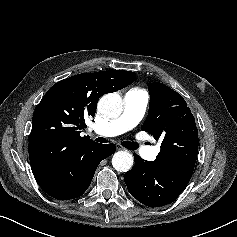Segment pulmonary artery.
Masks as SVG:
<instances>
[{"label": "pulmonary artery", "instance_id": "e3ab8cb5", "mask_svg": "<svg viewBox=\"0 0 237 237\" xmlns=\"http://www.w3.org/2000/svg\"><path fill=\"white\" fill-rule=\"evenodd\" d=\"M149 103L148 95L140 90L132 89L125 94L122 114L104 126H98L94 132L100 136H116L134 128L143 118ZM159 152L158 147L145 146L140 154L146 159H154Z\"/></svg>", "mask_w": 237, "mask_h": 237}]
</instances>
